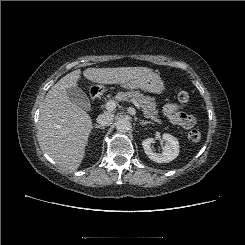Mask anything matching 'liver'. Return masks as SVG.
<instances>
[{"label":"liver","mask_w":245,"mask_h":245,"mask_svg":"<svg viewBox=\"0 0 245 245\" xmlns=\"http://www.w3.org/2000/svg\"><path fill=\"white\" fill-rule=\"evenodd\" d=\"M152 72L147 67L87 68L86 79L100 84H123ZM81 70L62 77L45 96L38 121V139L42 148L62 168L77 170L84 158L92 130V119L70 101L66 89L77 87Z\"/></svg>","instance_id":"obj_1"}]
</instances>
